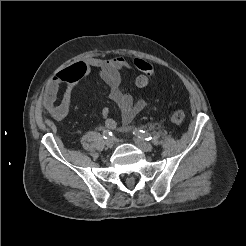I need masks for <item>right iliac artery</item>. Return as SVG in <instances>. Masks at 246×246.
I'll use <instances>...</instances> for the list:
<instances>
[{
  "instance_id": "right-iliac-artery-1",
  "label": "right iliac artery",
  "mask_w": 246,
  "mask_h": 246,
  "mask_svg": "<svg viewBox=\"0 0 246 246\" xmlns=\"http://www.w3.org/2000/svg\"><path fill=\"white\" fill-rule=\"evenodd\" d=\"M111 135H112V132L109 131L108 129H106V130L103 131V137H104L105 139H107V138L110 137Z\"/></svg>"
}]
</instances>
